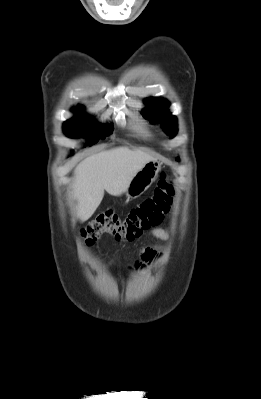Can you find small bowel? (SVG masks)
I'll use <instances>...</instances> for the list:
<instances>
[{
	"instance_id": "c3829d8e",
	"label": "small bowel",
	"mask_w": 261,
	"mask_h": 399,
	"mask_svg": "<svg viewBox=\"0 0 261 399\" xmlns=\"http://www.w3.org/2000/svg\"><path fill=\"white\" fill-rule=\"evenodd\" d=\"M150 235L160 240H166L169 238V231L165 228H155L150 232ZM160 258V247L159 246H147L144 247L140 252V260L136 262L134 268L142 270L146 264L157 262Z\"/></svg>"
}]
</instances>
